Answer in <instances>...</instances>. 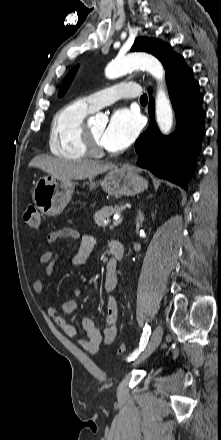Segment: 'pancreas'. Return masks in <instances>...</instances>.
Returning <instances> with one entry per match:
<instances>
[{
	"label": "pancreas",
	"mask_w": 221,
	"mask_h": 440,
	"mask_svg": "<svg viewBox=\"0 0 221 440\" xmlns=\"http://www.w3.org/2000/svg\"><path fill=\"white\" fill-rule=\"evenodd\" d=\"M125 207H119V206H106L103 207L100 211H97L94 215V220L97 226L105 228L107 226V223L105 222L106 219H108L110 216H112L115 213L120 214Z\"/></svg>",
	"instance_id": "pancreas-1"
}]
</instances>
